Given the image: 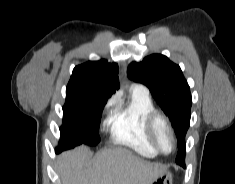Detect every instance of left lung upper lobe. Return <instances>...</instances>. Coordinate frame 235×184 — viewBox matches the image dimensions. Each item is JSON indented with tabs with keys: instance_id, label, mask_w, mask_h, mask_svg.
<instances>
[{
	"instance_id": "obj_1",
	"label": "left lung upper lobe",
	"mask_w": 235,
	"mask_h": 184,
	"mask_svg": "<svg viewBox=\"0 0 235 184\" xmlns=\"http://www.w3.org/2000/svg\"><path fill=\"white\" fill-rule=\"evenodd\" d=\"M128 78L146 85L162 110L170 118L178 139L176 163L185 166V136L190 125L192 98L180 67L161 54H152L142 62H132Z\"/></svg>"
}]
</instances>
